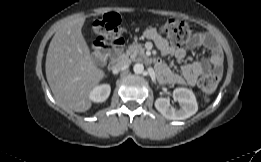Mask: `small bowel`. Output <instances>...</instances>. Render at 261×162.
I'll use <instances>...</instances> for the list:
<instances>
[{"label":"small bowel","instance_id":"obj_1","mask_svg":"<svg viewBox=\"0 0 261 162\" xmlns=\"http://www.w3.org/2000/svg\"><path fill=\"white\" fill-rule=\"evenodd\" d=\"M146 36L157 45L164 55H174L179 60L185 57L186 50L184 48L172 47L155 29H149L146 32ZM200 46H206L210 49L211 54L207 59L184 64L181 67V75L171 71L161 60H158L156 62L158 72L165 76L171 83L186 84L189 86H195L198 77L201 75L220 77L223 63L220 47L212 36L202 33L196 34L189 43L190 48Z\"/></svg>","mask_w":261,"mask_h":162}]
</instances>
